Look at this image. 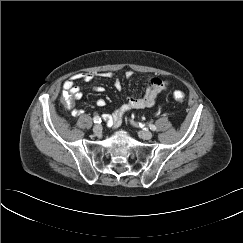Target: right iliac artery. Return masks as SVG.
I'll return each instance as SVG.
<instances>
[{"label":"right iliac artery","mask_w":243,"mask_h":243,"mask_svg":"<svg viewBox=\"0 0 243 243\" xmlns=\"http://www.w3.org/2000/svg\"><path fill=\"white\" fill-rule=\"evenodd\" d=\"M93 122L94 123H101V118L99 117V116H95L94 118H93Z\"/></svg>","instance_id":"82829eb1"}]
</instances>
